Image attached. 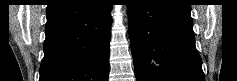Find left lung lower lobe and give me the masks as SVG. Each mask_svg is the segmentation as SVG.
<instances>
[{
	"label": "left lung lower lobe",
	"instance_id": "obj_1",
	"mask_svg": "<svg viewBox=\"0 0 237 81\" xmlns=\"http://www.w3.org/2000/svg\"><path fill=\"white\" fill-rule=\"evenodd\" d=\"M187 0H133L128 5L137 81H205Z\"/></svg>",
	"mask_w": 237,
	"mask_h": 81
}]
</instances>
